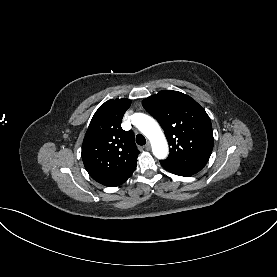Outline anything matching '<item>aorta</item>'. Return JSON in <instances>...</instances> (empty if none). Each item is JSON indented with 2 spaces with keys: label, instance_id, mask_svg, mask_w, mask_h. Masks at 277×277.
<instances>
[{
  "label": "aorta",
  "instance_id": "1",
  "mask_svg": "<svg viewBox=\"0 0 277 277\" xmlns=\"http://www.w3.org/2000/svg\"><path fill=\"white\" fill-rule=\"evenodd\" d=\"M132 120L151 142L154 156L158 159L166 158L168 155V144L158 123L152 117L143 113L133 114Z\"/></svg>",
  "mask_w": 277,
  "mask_h": 277
}]
</instances>
